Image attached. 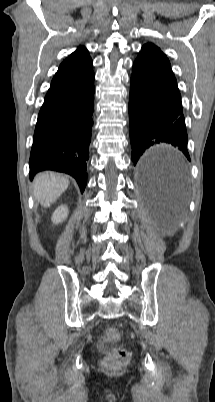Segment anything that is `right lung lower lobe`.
I'll use <instances>...</instances> for the list:
<instances>
[{
  "label": "right lung lower lobe",
  "instance_id": "obj_1",
  "mask_svg": "<svg viewBox=\"0 0 215 402\" xmlns=\"http://www.w3.org/2000/svg\"><path fill=\"white\" fill-rule=\"evenodd\" d=\"M94 74L79 86L45 98L33 137L30 178L42 170L73 176L84 191L93 125Z\"/></svg>",
  "mask_w": 215,
  "mask_h": 402
}]
</instances>
